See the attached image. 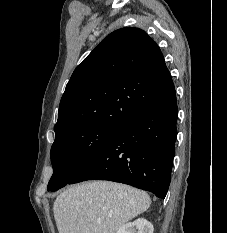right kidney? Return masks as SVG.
<instances>
[{"mask_svg":"<svg viewBox=\"0 0 227 233\" xmlns=\"http://www.w3.org/2000/svg\"><path fill=\"white\" fill-rule=\"evenodd\" d=\"M153 225L144 218L123 225L117 233H153Z\"/></svg>","mask_w":227,"mask_h":233,"instance_id":"obj_1","label":"right kidney"}]
</instances>
